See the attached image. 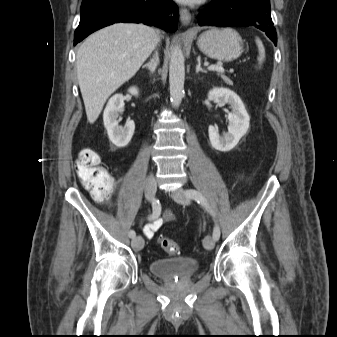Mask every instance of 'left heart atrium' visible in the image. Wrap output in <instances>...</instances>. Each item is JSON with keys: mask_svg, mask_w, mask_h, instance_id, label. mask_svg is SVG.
Wrapping results in <instances>:
<instances>
[{"mask_svg": "<svg viewBox=\"0 0 337 337\" xmlns=\"http://www.w3.org/2000/svg\"><path fill=\"white\" fill-rule=\"evenodd\" d=\"M180 2L186 3V4H195V3H199L202 0H178Z\"/></svg>", "mask_w": 337, "mask_h": 337, "instance_id": "39dd6f15", "label": "left heart atrium"}]
</instances>
